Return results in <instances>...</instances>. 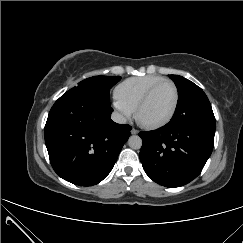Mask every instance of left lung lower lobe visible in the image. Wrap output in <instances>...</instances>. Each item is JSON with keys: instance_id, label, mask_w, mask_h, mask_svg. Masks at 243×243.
<instances>
[{"instance_id": "obj_1", "label": "left lung lower lobe", "mask_w": 243, "mask_h": 243, "mask_svg": "<svg viewBox=\"0 0 243 243\" xmlns=\"http://www.w3.org/2000/svg\"><path fill=\"white\" fill-rule=\"evenodd\" d=\"M215 128L170 121L153 131H141L140 160L156 183L174 188L195 179L208 160Z\"/></svg>"}]
</instances>
